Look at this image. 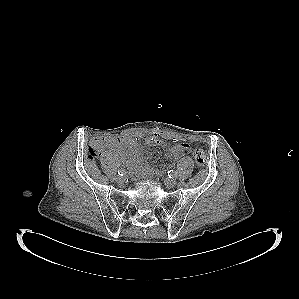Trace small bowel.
I'll return each mask as SVG.
<instances>
[{
  "label": "small bowel",
  "mask_w": 299,
  "mask_h": 299,
  "mask_svg": "<svg viewBox=\"0 0 299 299\" xmlns=\"http://www.w3.org/2000/svg\"><path fill=\"white\" fill-rule=\"evenodd\" d=\"M145 141L152 145L167 146L157 134L146 138ZM106 146L115 152L118 159L124 162L128 169L137 176H153L157 173L155 168L148 165L136 139L131 137L108 139ZM190 152L189 144L181 142L168 147L166 157L168 159H178Z\"/></svg>",
  "instance_id": "1"
}]
</instances>
